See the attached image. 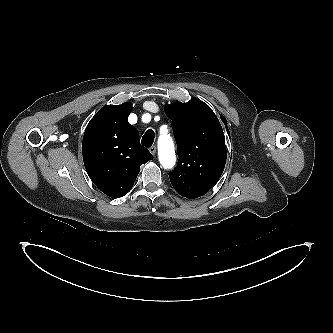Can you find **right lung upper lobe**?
<instances>
[{
    "label": "right lung upper lobe",
    "mask_w": 333,
    "mask_h": 333,
    "mask_svg": "<svg viewBox=\"0 0 333 333\" xmlns=\"http://www.w3.org/2000/svg\"><path fill=\"white\" fill-rule=\"evenodd\" d=\"M129 102L107 105L89 122L83 137V160L93 183L106 195H126L135 182L140 165L153 159L140 145L137 129L128 123Z\"/></svg>",
    "instance_id": "1"
}]
</instances>
